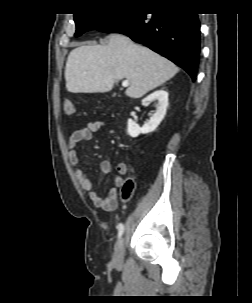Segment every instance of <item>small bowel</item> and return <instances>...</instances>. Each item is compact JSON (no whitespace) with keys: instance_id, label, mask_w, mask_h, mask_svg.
<instances>
[{"instance_id":"small-bowel-1","label":"small bowel","mask_w":252,"mask_h":303,"mask_svg":"<svg viewBox=\"0 0 252 303\" xmlns=\"http://www.w3.org/2000/svg\"><path fill=\"white\" fill-rule=\"evenodd\" d=\"M107 123L103 120L89 121L83 128L75 130L68 142V158L73 168L74 175L92 203L103 210L112 211L117 207V188L123 184V175L127 171L125 162H120L117 165V172L113 176L114 187H112L106 197H101L95 190V185L91 178L81 169L80 161L77 152L78 144L89 141L93 133L104 130ZM112 169V164L109 160H102L100 162V170L104 174H109Z\"/></svg>"}]
</instances>
